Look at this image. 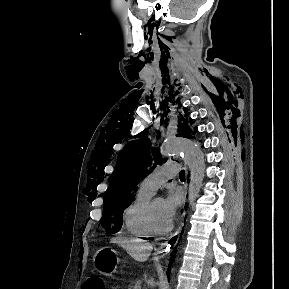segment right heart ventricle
Wrapping results in <instances>:
<instances>
[{
    "label": "right heart ventricle",
    "instance_id": "obj_1",
    "mask_svg": "<svg viewBox=\"0 0 289 289\" xmlns=\"http://www.w3.org/2000/svg\"><path fill=\"white\" fill-rule=\"evenodd\" d=\"M152 195L149 192L138 189L135 198L125 209V227L135 237L149 238L154 236L146 219V207Z\"/></svg>",
    "mask_w": 289,
    "mask_h": 289
}]
</instances>
